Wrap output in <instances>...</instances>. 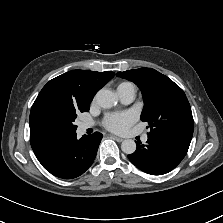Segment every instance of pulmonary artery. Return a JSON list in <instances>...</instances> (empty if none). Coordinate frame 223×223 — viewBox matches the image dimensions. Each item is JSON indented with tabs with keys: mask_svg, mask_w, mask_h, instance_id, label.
Masks as SVG:
<instances>
[{
	"mask_svg": "<svg viewBox=\"0 0 223 223\" xmlns=\"http://www.w3.org/2000/svg\"><path fill=\"white\" fill-rule=\"evenodd\" d=\"M117 94L122 102L130 103L135 99L136 96V88L134 85L128 84H121L117 88ZM85 127H89V124H85ZM140 140L142 143L147 144L150 142L151 137L149 134L144 133L141 135Z\"/></svg>",
	"mask_w": 223,
	"mask_h": 223,
	"instance_id": "pulmonary-artery-1",
	"label": "pulmonary artery"
}]
</instances>
